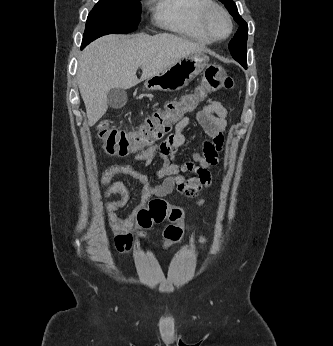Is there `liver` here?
<instances>
[{
    "mask_svg": "<svg viewBox=\"0 0 333 346\" xmlns=\"http://www.w3.org/2000/svg\"><path fill=\"white\" fill-rule=\"evenodd\" d=\"M204 50L202 45L168 33L107 35L97 39L85 48L78 61V86L89 126L106 113L111 89H129L176 61ZM139 67L140 79L136 76Z\"/></svg>",
    "mask_w": 333,
    "mask_h": 346,
    "instance_id": "liver-1",
    "label": "liver"
}]
</instances>
